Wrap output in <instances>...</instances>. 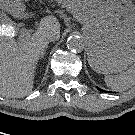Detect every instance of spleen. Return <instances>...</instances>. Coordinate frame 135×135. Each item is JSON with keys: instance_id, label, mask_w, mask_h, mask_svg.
I'll use <instances>...</instances> for the list:
<instances>
[{"instance_id": "obj_1", "label": "spleen", "mask_w": 135, "mask_h": 135, "mask_svg": "<svg viewBox=\"0 0 135 135\" xmlns=\"http://www.w3.org/2000/svg\"><path fill=\"white\" fill-rule=\"evenodd\" d=\"M105 83L107 87L114 91H124L135 85V63L126 71L117 75L105 76Z\"/></svg>"}]
</instances>
